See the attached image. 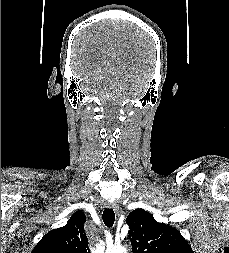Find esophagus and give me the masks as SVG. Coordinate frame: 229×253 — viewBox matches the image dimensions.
Segmentation results:
<instances>
[{
    "label": "esophagus",
    "mask_w": 229,
    "mask_h": 253,
    "mask_svg": "<svg viewBox=\"0 0 229 253\" xmlns=\"http://www.w3.org/2000/svg\"><path fill=\"white\" fill-rule=\"evenodd\" d=\"M107 208L113 209L116 213L119 212V206L115 202L107 203Z\"/></svg>",
    "instance_id": "esophagus-1"
}]
</instances>
